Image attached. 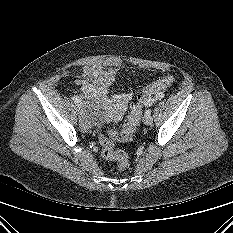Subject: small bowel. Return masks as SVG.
<instances>
[{
  "label": "small bowel",
  "mask_w": 233,
  "mask_h": 233,
  "mask_svg": "<svg viewBox=\"0 0 233 233\" xmlns=\"http://www.w3.org/2000/svg\"><path fill=\"white\" fill-rule=\"evenodd\" d=\"M117 74L118 71L115 69H110L103 74L89 70L76 80V84L80 86L84 92L93 93L103 100L106 99L108 89L114 83ZM130 99V94H122L109 102L110 109L116 119L122 116Z\"/></svg>",
  "instance_id": "small-bowel-1"
}]
</instances>
